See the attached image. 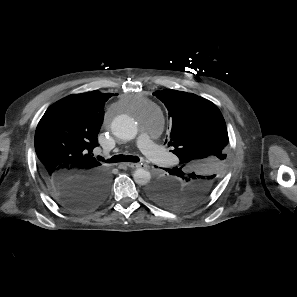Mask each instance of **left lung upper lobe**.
Returning a JSON list of instances; mask_svg holds the SVG:
<instances>
[{"mask_svg": "<svg viewBox=\"0 0 297 297\" xmlns=\"http://www.w3.org/2000/svg\"><path fill=\"white\" fill-rule=\"evenodd\" d=\"M168 110V146L180 160L147 190L154 202L172 209H189L207 197L226 164L228 132L211 101L192 93L165 89L153 93ZM167 142V140H166Z\"/></svg>", "mask_w": 297, "mask_h": 297, "instance_id": "left-lung-upper-lobe-1", "label": "left lung upper lobe"}]
</instances>
